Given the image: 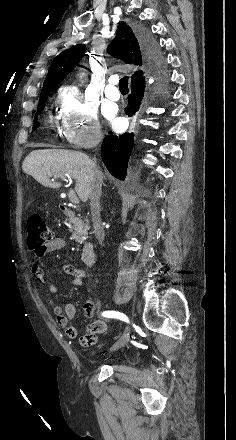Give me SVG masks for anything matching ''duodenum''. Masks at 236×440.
Masks as SVG:
<instances>
[{
	"mask_svg": "<svg viewBox=\"0 0 236 440\" xmlns=\"http://www.w3.org/2000/svg\"><path fill=\"white\" fill-rule=\"evenodd\" d=\"M60 209L65 217L70 219H74L76 217V213L73 211V209H71L67 205L62 203L60 205ZM94 259H95L94 246L91 242H86L81 252V261L85 266L91 267L94 264Z\"/></svg>",
	"mask_w": 236,
	"mask_h": 440,
	"instance_id": "obj_1",
	"label": "duodenum"
}]
</instances>
